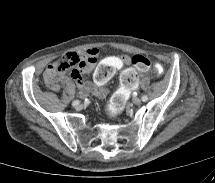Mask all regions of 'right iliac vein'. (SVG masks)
Masks as SVG:
<instances>
[{
	"mask_svg": "<svg viewBox=\"0 0 215 183\" xmlns=\"http://www.w3.org/2000/svg\"><path fill=\"white\" fill-rule=\"evenodd\" d=\"M75 108H76L77 110H81V109H82V105H81V104H78L77 106H75Z\"/></svg>",
	"mask_w": 215,
	"mask_h": 183,
	"instance_id": "obj_1",
	"label": "right iliac vein"
}]
</instances>
